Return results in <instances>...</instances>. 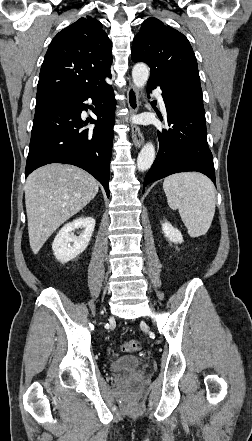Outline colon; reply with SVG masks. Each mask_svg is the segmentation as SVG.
Returning <instances> with one entry per match:
<instances>
[{"label":"colon","instance_id":"colon-1","mask_svg":"<svg viewBox=\"0 0 252 441\" xmlns=\"http://www.w3.org/2000/svg\"><path fill=\"white\" fill-rule=\"evenodd\" d=\"M140 343L136 340H130L122 345V350L124 352H137L140 350Z\"/></svg>","mask_w":252,"mask_h":441}]
</instances>
